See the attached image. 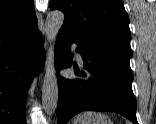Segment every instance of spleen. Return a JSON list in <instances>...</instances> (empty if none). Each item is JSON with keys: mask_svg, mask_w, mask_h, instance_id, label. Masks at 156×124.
I'll return each instance as SVG.
<instances>
[{"mask_svg": "<svg viewBox=\"0 0 156 124\" xmlns=\"http://www.w3.org/2000/svg\"><path fill=\"white\" fill-rule=\"evenodd\" d=\"M94 115H97V114L93 112H84L83 115H81L80 117H92Z\"/></svg>", "mask_w": 156, "mask_h": 124, "instance_id": "spleen-1", "label": "spleen"}]
</instances>
